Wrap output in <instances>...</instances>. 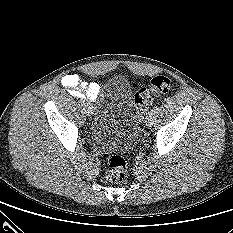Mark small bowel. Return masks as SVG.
<instances>
[{
	"label": "small bowel",
	"mask_w": 233,
	"mask_h": 233,
	"mask_svg": "<svg viewBox=\"0 0 233 233\" xmlns=\"http://www.w3.org/2000/svg\"><path fill=\"white\" fill-rule=\"evenodd\" d=\"M62 85L77 98L96 100L101 85L97 82H84L77 74H68L62 78Z\"/></svg>",
	"instance_id": "c3829d8e"
}]
</instances>
